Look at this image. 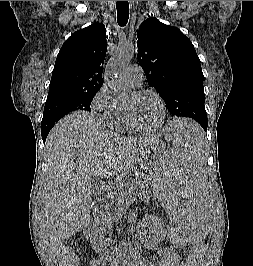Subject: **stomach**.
<instances>
[{
    "instance_id": "1",
    "label": "stomach",
    "mask_w": 253,
    "mask_h": 266,
    "mask_svg": "<svg viewBox=\"0 0 253 266\" xmlns=\"http://www.w3.org/2000/svg\"><path fill=\"white\" fill-rule=\"evenodd\" d=\"M163 153H168V149L162 141L149 145L139 160L141 169L151 177L157 176V171L161 169H156V160H161Z\"/></svg>"
}]
</instances>
